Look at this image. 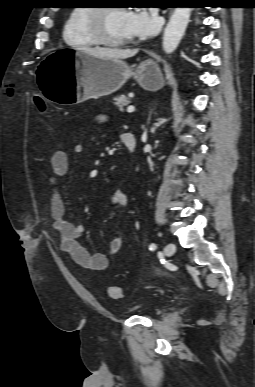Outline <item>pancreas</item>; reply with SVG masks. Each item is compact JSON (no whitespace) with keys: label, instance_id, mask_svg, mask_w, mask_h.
<instances>
[{"label":"pancreas","instance_id":"1","mask_svg":"<svg viewBox=\"0 0 255 387\" xmlns=\"http://www.w3.org/2000/svg\"><path fill=\"white\" fill-rule=\"evenodd\" d=\"M114 101V104L120 111H124V107L130 104V100L125 95L115 97Z\"/></svg>","mask_w":255,"mask_h":387}]
</instances>
